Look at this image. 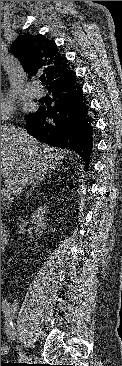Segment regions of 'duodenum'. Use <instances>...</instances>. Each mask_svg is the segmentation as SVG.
<instances>
[{"instance_id":"obj_1","label":"duodenum","mask_w":122,"mask_h":366,"mask_svg":"<svg viewBox=\"0 0 122 366\" xmlns=\"http://www.w3.org/2000/svg\"><path fill=\"white\" fill-rule=\"evenodd\" d=\"M6 240H7V234H6L5 230L3 229V226L1 223V245H3Z\"/></svg>"}]
</instances>
